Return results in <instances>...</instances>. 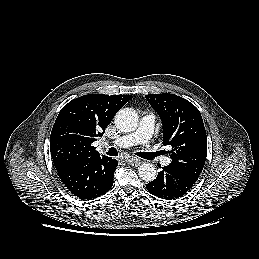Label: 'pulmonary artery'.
Listing matches in <instances>:
<instances>
[{"mask_svg":"<svg viewBox=\"0 0 259 259\" xmlns=\"http://www.w3.org/2000/svg\"><path fill=\"white\" fill-rule=\"evenodd\" d=\"M154 123L155 115L151 113L146 114L142 117L139 128L135 132L118 137L111 141V144L118 148H126L133 146L137 143H141L144 145L146 152L151 154L155 153L156 148L150 142V137L153 131ZM162 162L164 165H169L171 159L165 157L162 159Z\"/></svg>","mask_w":259,"mask_h":259,"instance_id":"pulmonary-artery-1","label":"pulmonary artery"}]
</instances>
